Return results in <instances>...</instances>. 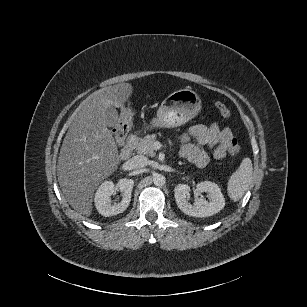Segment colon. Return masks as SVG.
Listing matches in <instances>:
<instances>
[{
    "label": "colon",
    "mask_w": 307,
    "mask_h": 307,
    "mask_svg": "<svg viewBox=\"0 0 307 307\" xmlns=\"http://www.w3.org/2000/svg\"><path fill=\"white\" fill-rule=\"evenodd\" d=\"M215 107L220 113V115L224 118H228L231 115L230 109L222 102L217 101L215 102ZM132 122V112L130 108H127L121 117L120 122L117 124V126L114 129V136L117 142H122L129 131L130 125ZM241 150V145L237 139H234L229 147V153L232 156L237 155Z\"/></svg>",
    "instance_id": "obj_1"
}]
</instances>
